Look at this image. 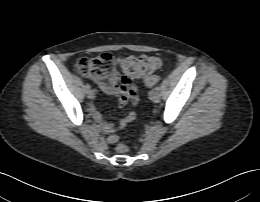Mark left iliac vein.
<instances>
[{"label": "left iliac vein", "mask_w": 260, "mask_h": 202, "mask_svg": "<svg viewBox=\"0 0 260 202\" xmlns=\"http://www.w3.org/2000/svg\"><path fill=\"white\" fill-rule=\"evenodd\" d=\"M150 98L154 103L160 102L161 99L159 92L156 90L151 91Z\"/></svg>", "instance_id": "1"}]
</instances>
